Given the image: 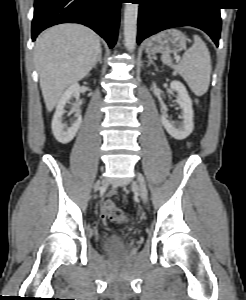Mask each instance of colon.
Returning <instances> with one entry per match:
<instances>
[{
	"instance_id": "obj_1",
	"label": "colon",
	"mask_w": 246,
	"mask_h": 300,
	"mask_svg": "<svg viewBox=\"0 0 246 300\" xmlns=\"http://www.w3.org/2000/svg\"><path fill=\"white\" fill-rule=\"evenodd\" d=\"M103 215L106 219L114 223H128L130 221L125 213L111 200L104 201Z\"/></svg>"
}]
</instances>
